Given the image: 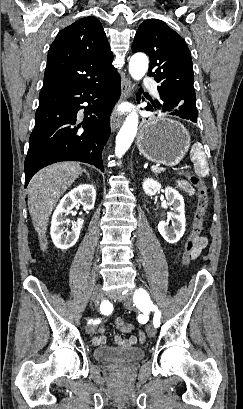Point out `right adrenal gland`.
<instances>
[{"mask_svg": "<svg viewBox=\"0 0 243 409\" xmlns=\"http://www.w3.org/2000/svg\"><path fill=\"white\" fill-rule=\"evenodd\" d=\"M86 174H87V176L89 177V173L88 172H86V170H83Z\"/></svg>", "mask_w": 243, "mask_h": 409, "instance_id": "obj_1", "label": "right adrenal gland"}]
</instances>
